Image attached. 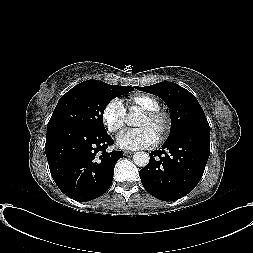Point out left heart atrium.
Masks as SVG:
<instances>
[{
	"label": "left heart atrium",
	"mask_w": 253,
	"mask_h": 253,
	"mask_svg": "<svg viewBox=\"0 0 253 253\" xmlns=\"http://www.w3.org/2000/svg\"><path fill=\"white\" fill-rule=\"evenodd\" d=\"M158 140L156 132L146 127L121 133L117 138V145L126 150H139L156 145Z\"/></svg>",
	"instance_id": "left-heart-atrium-1"
}]
</instances>
